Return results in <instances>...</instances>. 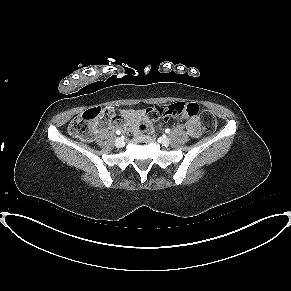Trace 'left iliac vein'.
Returning <instances> with one entry per match:
<instances>
[{"instance_id": "1", "label": "left iliac vein", "mask_w": 291, "mask_h": 291, "mask_svg": "<svg viewBox=\"0 0 291 291\" xmlns=\"http://www.w3.org/2000/svg\"><path fill=\"white\" fill-rule=\"evenodd\" d=\"M160 143L164 146H168L170 144V139L168 137H163L160 139Z\"/></svg>"}]
</instances>
